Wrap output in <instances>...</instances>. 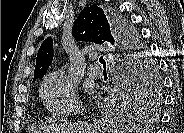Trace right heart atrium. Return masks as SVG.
Here are the masks:
<instances>
[{"label":"right heart atrium","instance_id":"obj_1","mask_svg":"<svg viewBox=\"0 0 184 133\" xmlns=\"http://www.w3.org/2000/svg\"><path fill=\"white\" fill-rule=\"evenodd\" d=\"M40 94L46 108L55 115L76 112L81 107L75 83L63 70H56L44 78Z\"/></svg>","mask_w":184,"mask_h":133}]
</instances>
